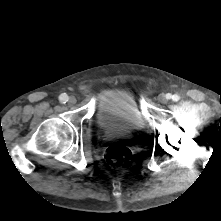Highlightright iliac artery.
<instances>
[{"mask_svg": "<svg viewBox=\"0 0 221 221\" xmlns=\"http://www.w3.org/2000/svg\"><path fill=\"white\" fill-rule=\"evenodd\" d=\"M59 101L62 103V104H65L67 101H68V96L67 94L63 93L59 96Z\"/></svg>", "mask_w": 221, "mask_h": 221, "instance_id": "obj_1", "label": "right iliac artery"}]
</instances>
